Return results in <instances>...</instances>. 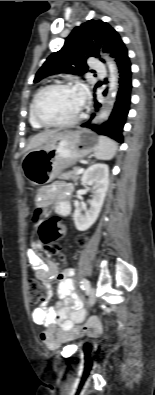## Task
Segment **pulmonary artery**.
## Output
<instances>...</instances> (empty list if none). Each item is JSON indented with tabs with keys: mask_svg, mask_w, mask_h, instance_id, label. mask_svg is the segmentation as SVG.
Segmentation results:
<instances>
[{
	"mask_svg": "<svg viewBox=\"0 0 155 395\" xmlns=\"http://www.w3.org/2000/svg\"><path fill=\"white\" fill-rule=\"evenodd\" d=\"M91 67H92L93 69H95L96 71L100 72V73H103V72H104L103 65H102L99 61H97V60H95V59L92 60V62H91Z\"/></svg>",
	"mask_w": 155,
	"mask_h": 395,
	"instance_id": "pulmonary-artery-1",
	"label": "pulmonary artery"
}]
</instances>
